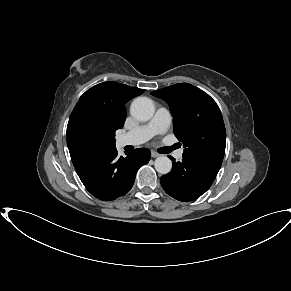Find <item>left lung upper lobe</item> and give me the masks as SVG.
Masks as SVG:
<instances>
[{
    "mask_svg": "<svg viewBox=\"0 0 291 291\" xmlns=\"http://www.w3.org/2000/svg\"><path fill=\"white\" fill-rule=\"evenodd\" d=\"M169 104L174 134L184 145L183 158L203 166L220 168L226 131L216 102L201 89L180 83L153 91Z\"/></svg>",
    "mask_w": 291,
    "mask_h": 291,
    "instance_id": "5c2ea615",
    "label": "left lung upper lobe"
}]
</instances>
